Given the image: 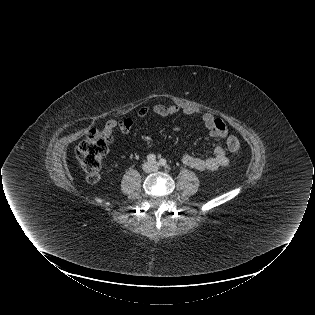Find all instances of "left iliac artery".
<instances>
[{"instance_id":"left-iliac-artery-1","label":"left iliac artery","mask_w":315,"mask_h":315,"mask_svg":"<svg viewBox=\"0 0 315 315\" xmlns=\"http://www.w3.org/2000/svg\"><path fill=\"white\" fill-rule=\"evenodd\" d=\"M166 164H167V161L164 158L159 160V165L166 166Z\"/></svg>"}]
</instances>
